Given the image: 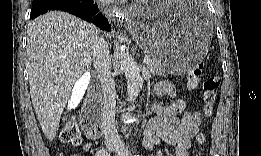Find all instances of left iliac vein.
I'll return each mask as SVG.
<instances>
[{
    "label": "left iliac vein",
    "mask_w": 261,
    "mask_h": 156,
    "mask_svg": "<svg viewBox=\"0 0 261 156\" xmlns=\"http://www.w3.org/2000/svg\"><path fill=\"white\" fill-rule=\"evenodd\" d=\"M116 153L119 155V156H127L130 154V152L128 151L127 147L124 145V143L122 142H119L117 144V147H116Z\"/></svg>",
    "instance_id": "obj_1"
}]
</instances>
